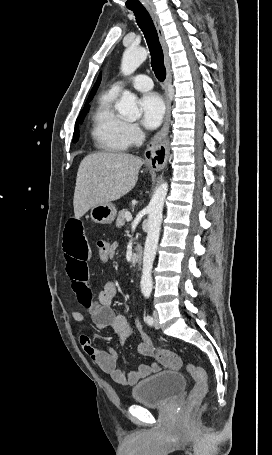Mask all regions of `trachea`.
<instances>
[{
  "label": "trachea",
  "instance_id": "trachea-1",
  "mask_svg": "<svg viewBox=\"0 0 272 455\" xmlns=\"http://www.w3.org/2000/svg\"><path fill=\"white\" fill-rule=\"evenodd\" d=\"M130 10L133 11L137 24L142 30L147 41L151 55V66L155 73V76L159 81L162 82L166 78V69L163 61V51L159 42L155 25L148 11L143 6L131 8Z\"/></svg>",
  "mask_w": 272,
  "mask_h": 455
}]
</instances>
